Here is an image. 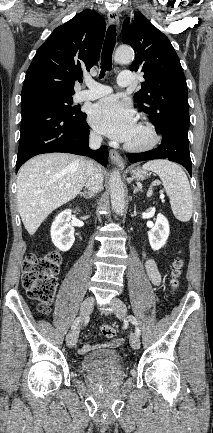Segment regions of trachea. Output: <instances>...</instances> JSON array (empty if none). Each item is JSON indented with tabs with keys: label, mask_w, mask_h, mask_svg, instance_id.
I'll return each instance as SVG.
<instances>
[{
	"label": "trachea",
	"mask_w": 213,
	"mask_h": 433,
	"mask_svg": "<svg viewBox=\"0 0 213 433\" xmlns=\"http://www.w3.org/2000/svg\"><path fill=\"white\" fill-rule=\"evenodd\" d=\"M116 42V26L110 25L107 29L101 56V74L103 77L105 71H110L112 68V53Z\"/></svg>",
	"instance_id": "obj_1"
}]
</instances>
